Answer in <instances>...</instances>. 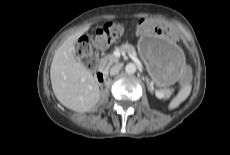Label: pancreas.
Segmentation results:
<instances>
[{"label": "pancreas", "mask_w": 230, "mask_h": 155, "mask_svg": "<svg viewBox=\"0 0 230 155\" xmlns=\"http://www.w3.org/2000/svg\"><path fill=\"white\" fill-rule=\"evenodd\" d=\"M120 50L121 51H125V52H128L130 55H136V52H135V49L134 47H128L127 45H122L120 47ZM119 62V59L117 57H115L114 55L112 54H109V55H106L105 57H103L101 60H100V67L103 68L104 67V70H108V68L114 64V63H118ZM165 98H168L170 95H171V91L170 90H165L163 92Z\"/></svg>", "instance_id": "cf45deb5"}]
</instances>
